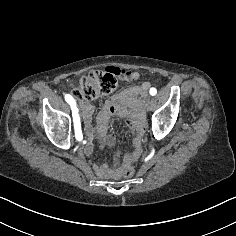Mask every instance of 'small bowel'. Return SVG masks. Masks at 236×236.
Masks as SVG:
<instances>
[{
	"label": "small bowel",
	"instance_id": "c3829d8e",
	"mask_svg": "<svg viewBox=\"0 0 236 236\" xmlns=\"http://www.w3.org/2000/svg\"><path fill=\"white\" fill-rule=\"evenodd\" d=\"M122 71L123 74L121 75V78L124 80L138 81L140 79V74L138 72ZM148 89L149 83L142 82L138 85L128 86L110 96L97 114L96 127L92 126V115L94 111L92 104L88 101H81L80 104L82 108L84 128L87 136V141L83 150L87 155L93 153L94 146L92 140L94 136L98 138L101 148L112 147L114 145L115 137L109 133L108 123L112 116H117L134 134V150L123 157L122 166L139 157L144 144V133L146 127L144 103ZM122 166L118 157L115 159L113 166L108 164H94L93 169L99 177L115 178L119 175Z\"/></svg>",
	"mask_w": 236,
	"mask_h": 236
}]
</instances>
